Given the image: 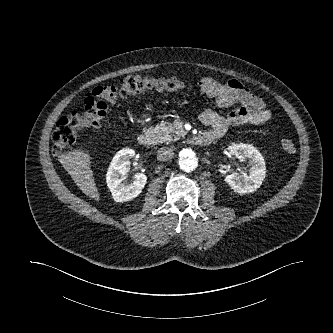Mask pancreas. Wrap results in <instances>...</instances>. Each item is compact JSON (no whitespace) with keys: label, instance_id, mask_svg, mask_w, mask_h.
<instances>
[{"label":"pancreas","instance_id":"pancreas-1","mask_svg":"<svg viewBox=\"0 0 333 333\" xmlns=\"http://www.w3.org/2000/svg\"><path fill=\"white\" fill-rule=\"evenodd\" d=\"M154 132L157 134V142H170L180 139L184 135V131L176 128L173 124L168 122H162L160 125H156Z\"/></svg>","mask_w":333,"mask_h":333}]
</instances>
